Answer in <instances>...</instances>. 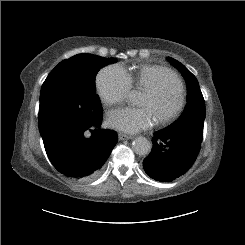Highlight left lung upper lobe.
<instances>
[{
    "instance_id": "left-lung-upper-lobe-1",
    "label": "left lung upper lobe",
    "mask_w": 245,
    "mask_h": 245,
    "mask_svg": "<svg viewBox=\"0 0 245 245\" xmlns=\"http://www.w3.org/2000/svg\"><path fill=\"white\" fill-rule=\"evenodd\" d=\"M168 61L176 67L184 77L188 97L187 104L181 116L162 131L166 134L188 137L201 144L205 118V102L196 77L180 62L167 57Z\"/></svg>"
}]
</instances>
